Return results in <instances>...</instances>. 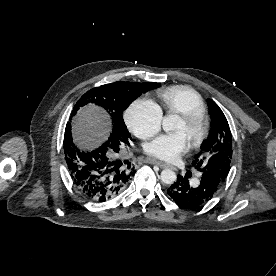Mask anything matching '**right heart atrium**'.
Wrapping results in <instances>:
<instances>
[{"mask_svg": "<svg viewBox=\"0 0 276 276\" xmlns=\"http://www.w3.org/2000/svg\"><path fill=\"white\" fill-rule=\"evenodd\" d=\"M163 114L161 108L148 98H138L125 112L129 129L139 138L148 139L161 128Z\"/></svg>", "mask_w": 276, "mask_h": 276, "instance_id": "1", "label": "right heart atrium"}]
</instances>
